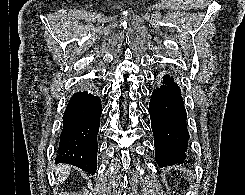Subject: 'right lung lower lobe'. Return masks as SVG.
<instances>
[{"instance_id": "right-lung-lower-lobe-1", "label": "right lung lower lobe", "mask_w": 245, "mask_h": 195, "mask_svg": "<svg viewBox=\"0 0 245 195\" xmlns=\"http://www.w3.org/2000/svg\"><path fill=\"white\" fill-rule=\"evenodd\" d=\"M102 105L94 90H80L72 95L63 115V129L57 163H67L94 174L97 167V133Z\"/></svg>"}]
</instances>
